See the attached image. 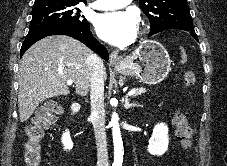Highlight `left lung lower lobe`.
<instances>
[{
    "instance_id": "1",
    "label": "left lung lower lobe",
    "mask_w": 227,
    "mask_h": 166,
    "mask_svg": "<svg viewBox=\"0 0 227 166\" xmlns=\"http://www.w3.org/2000/svg\"><path fill=\"white\" fill-rule=\"evenodd\" d=\"M181 30L189 32L191 34V36L198 41L197 35H196L195 31H194V27L185 28V29H181Z\"/></svg>"
}]
</instances>
